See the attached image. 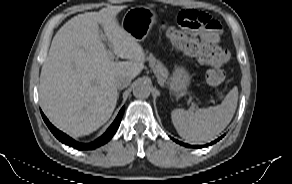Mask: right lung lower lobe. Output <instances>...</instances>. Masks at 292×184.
<instances>
[{
    "label": "right lung lower lobe",
    "mask_w": 292,
    "mask_h": 184,
    "mask_svg": "<svg viewBox=\"0 0 292 184\" xmlns=\"http://www.w3.org/2000/svg\"><path fill=\"white\" fill-rule=\"evenodd\" d=\"M124 113V107H122V109L120 110V112L118 113L116 119L114 120V122L112 123V125L108 128V130L98 139H96L95 141L91 142V143H79L75 140H73L72 138H70L69 136H67L65 133L59 131L58 129H56L49 121L48 119L45 117V115L41 112L42 117L46 123V125L48 126V128L50 129V131L53 133V135L60 140L62 143L73 147L75 149L78 150H92L95 149L105 143H107L114 135V133L116 132V130L118 129L122 116Z\"/></svg>",
    "instance_id": "98d812e1"
}]
</instances>
